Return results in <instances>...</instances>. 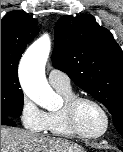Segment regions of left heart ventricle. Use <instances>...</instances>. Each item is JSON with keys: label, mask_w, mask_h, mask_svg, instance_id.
<instances>
[{"label": "left heart ventricle", "mask_w": 123, "mask_h": 152, "mask_svg": "<svg viewBox=\"0 0 123 152\" xmlns=\"http://www.w3.org/2000/svg\"><path fill=\"white\" fill-rule=\"evenodd\" d=\"M77 121L80 129L87 134H97L105 126L102 112L93 104L81 103L77 110Z\"/></svg>", "instance_id": "obj_1"}]
</instances>
